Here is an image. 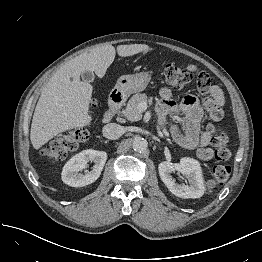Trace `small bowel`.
<instances>
[{
    "label": "small bowel",
    "mask_w": 262,
    "mask_h": 262,
    "mask_svg": "<svg viewBox=\"0 0 262 262\" xmlns=\"http://www.w3.org/2000/svg\"><path fill=\"white\" fill-rule=\"evenodd\" d=\"M186 69L190 73L197 74L201 98L186 96L178 105L173 99L172 91L169 88H162L158 104L160 122L164 121V116L169 111L174 115H182L184 130L182 131L177 124L172 125L170 127L172 138L183 148H196L199 158L208 161L214 156L213 150L209 147L212 134L209 129L200 131L201 119L206 112L212 121L222 120L225 98L221 88L212 83L207 73L194 64H189Z\"/></svg>",
    "instance_id": "small-bowel-1"
}]
</instances>
